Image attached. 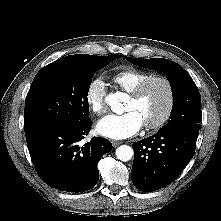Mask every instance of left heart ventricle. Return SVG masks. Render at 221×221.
Returning <instances> with one entry per match:
<instances>
[{
  "label": "left heart ventricle",
  "mask_w": 221,
  "mask_h": 221,
  "mask_svg": "<svg viewBox=\"0 0 221 221\" xmlns=\"http://www.w3.org/2000/svg\"><path fill=\"white\" fill-rule=\"evenodd\" d=\"M167 105V91L161 82L151 83L138 100L129 98L125 110L134 111L143 125L156 121Z\"/></svg>",
  "instance_id": "left-heart-ventricle-1"
}]
</instances>
